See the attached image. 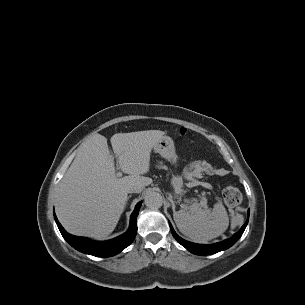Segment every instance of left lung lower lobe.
<instances>
[{
	"mask_svg": "<svg viewBox=\"0 0 305 305\" xmlns=\"http://www.w3.org/2000/svg\"><path fill=\"white\" fill-rule=\"evenodd\" d=\"M247 223H248V219H247L246 223L242 226L240 231L235 233L231 238L226 239L222 242L211 244V245L195 244V243L188 242V241L182 239L181 237H179L175 233L172 225L170 223L169 224H170L171 232H172L173 236L175 237V239L182 246H184L186 249H188L191 253L196 254V255H210V254H215L217 252L225 250V249L231 247L234 243H236V241H238V239L242 236V234L247 226Z\"/></svg>",
	"mask_w": 305,
	"mask_h": 305,
	"instance_id": "left-lung-lower-lobe-1",
	"label": "left lung lower lobe"
}]
</instances>
